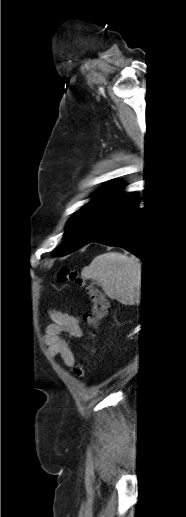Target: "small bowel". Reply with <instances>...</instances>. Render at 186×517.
I'll list each match as a JSON object with an SVG mask.
<instances>
[{
	"label": "small bowel",
	"instance_id": "obj_1",
	"mask_svg": "<svg viewBox=\"0 0 186 517\" xmlns=\"http://www.w3.org/2000/svg\"><path fill=\"white\" fill-rule=\"evenodd\" d=\"M51 320L44 338L48 353L53 358L60 357L66 366L72 367L75 364V356L69 342L63 336L74 338L83 336L79 319L67 313L52 311Z\"/></svg>",
	"mask_w": 186,
	"mask_h": 517
}]
</instances>
